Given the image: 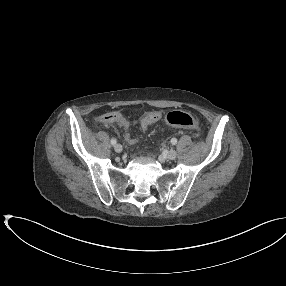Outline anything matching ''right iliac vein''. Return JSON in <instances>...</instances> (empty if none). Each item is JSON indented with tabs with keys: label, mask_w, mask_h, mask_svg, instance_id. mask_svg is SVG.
Returning a JSON list of instances; mask_svg holds the SVG:
<instances>
[{
	"label": "right iliac vein",
	"mask_w": 286,
	"mask_h": 286,
	"mask_svg": "<svg viewBox=\"0 0 286 286\" xmlns=\"http://www.w3.org/2000/svg\"><path fill=\"white\" fill-rule=\"evenodd\" d=\"M114 149H115V151H116L117 153H120V152H122V150H123L122 145L119 144V143H118V144H115Z\"/></svg>",
	"instance_id": "obj_1"
}]
</instances>
